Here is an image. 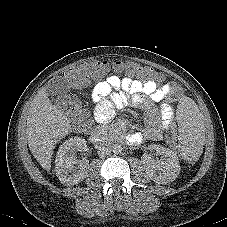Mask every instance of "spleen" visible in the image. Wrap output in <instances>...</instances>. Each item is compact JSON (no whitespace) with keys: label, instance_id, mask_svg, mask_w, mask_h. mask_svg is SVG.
<instances>
[{"label":"spleen","instance_id":"1","mask_svg":"<svg viewBox=\"0 0 227 227\" xmlns=\"http://www.w3.org/2000/svg\"><path fill=\"white\" fill-rule=\"evenodd\" d=\"M176 127L180 153L187 160H195L202 153L203 122L195 101L184 99L177 106Z\"/></svg>","mask_w":227,"mask_h":227}]
</instances>
